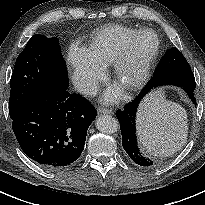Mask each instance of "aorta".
I'll return each mask as SVG.
<instances>
[{
    "instance_id": "762f6f07",
    "label": "aorta",
    "mask_w": 205,
    "mask_h": 205,
    "mask_svg": "<svg viewBox=\"0 0 205 205\" xmlns=\"http://www.w3.org/2000/svg\"><path fill=\"white\" fill-rule=\"evenodd\" d=\"M96 128L105 134L115 133L119 128L117 119L109 115H103L96 120Z\"/></svg>"
}]
</instances>
